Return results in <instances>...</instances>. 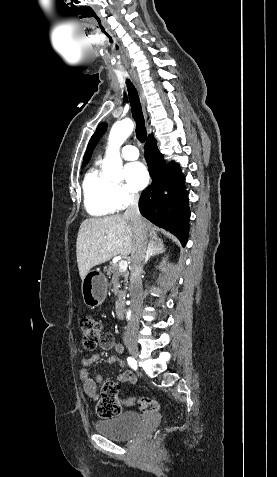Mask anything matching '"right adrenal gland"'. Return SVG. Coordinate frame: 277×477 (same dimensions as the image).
Returning a JSON list of instances; mask_svg holds the SVG:
<instances>
[{
  "label": "right adrenal gland",
  "instance_id": "obj_1",
  "mask_svg": "<svg viewBox=\"0 0 277 477\" xmlns=\"http://www.w3.org/2000/svg\"><path fill=\"white\" fill-rule=\"evenodd\" d=\"M164 252L162 242L157 241L156 239H150L146 251L145 264L148 262L151 256L157 255Z\"/></svg>",
  "mask_w": 277,
  "mask_h": 477
}]
</instances>
